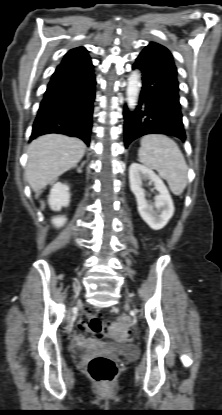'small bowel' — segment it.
Instances as JSON below:
<instances>
[{
	"mask_svg": "<svg viewBox=\"0 0 222 415\" xmlns=\"http://www.w3.org/2000/svg\"><path fill=\"white\" fill-rule=\"evenodd\" d=\"M79 339H80V340H84V337H80Z\"/></svg>",
	"mask_w": 222,
	"mask_h": 415,
	"instance_id": "obj_1",
	"label": "small bowel"
}]
</instances>
